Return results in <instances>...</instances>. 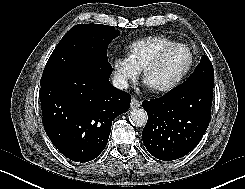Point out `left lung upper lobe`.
Returning a JSON list of instances; mask_svg holds the SVG:
<instances>
[{
	"mask_svg": "<svg viewBox=\"0 0 245 189\" xmlns=\"http://www.w3.org/2000/svg\"><path fill=\"white\" fill-rule=\"evenodd\" d=\"M201 79L214 83V70L211 61L206 55L201 57L200 63L197 65L194 73L188 80Z\"/></svg>",
	"mask_w": 245,
	"mask_h": 189,
	"instance_id": "5c2ea615",
	"label": "left lung upper lobe"
}]
</instances>
